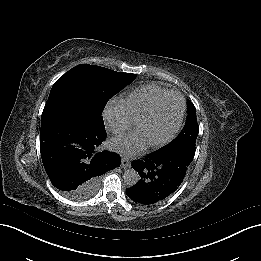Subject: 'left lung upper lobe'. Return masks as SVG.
Here are the masks:
<instances>
[{
	"label": "left lung upper lobe",
	"mask_w": 261,
	"mask_h": 261,
	"mask_svg": "<svg viewBox=\"0 0 261 261\" xmlns=\"http://www.w3.org/2000/svg\"><path fill=\"white\" fill-rule=\"evenodd\" d=\"M187 107L188 116L183 130L173 142L163 148L164 150L184 149L194 154L199 127L196 119L195 106L191 101H187Z\"/></svg>",
	"instance_id": "1"
}]
</instances>
